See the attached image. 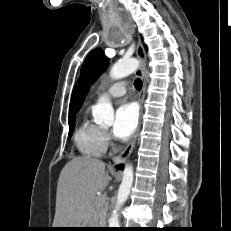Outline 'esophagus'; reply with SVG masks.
<instances>
[{
  "instance_id": "34e87169",
  "label": "esophagus",
  "mask_w": 231,
  "mask_h": 231,
  "mask_svg": "<svg viewBox=\"0 0 231 231\" xmlns=\"http://www.w3.org/2000/svg\"><path fill=\"white\" fill-rule=\"evenodd\" d=\"M136 55L140 61V66L136 70L135 74H136V76L140 77L142 79V82H143L142 89L139 92V104H140L139 122H138L136 132H135L134 136L132 137V139L130 140V142L128 143V145L125 147V149L123 151H121L117 156H115L113 158L114 164L122 163L130 156V154L132 153V151L134 149L136 139L138 137V134H139L140 128H141V118L143 115V103H144L145 92H146V73H145L146 54H145V49L143 47V44L140 41H138V43H137Z\"/></svg>"
}]
</instances>
